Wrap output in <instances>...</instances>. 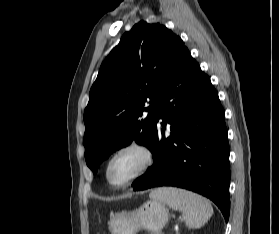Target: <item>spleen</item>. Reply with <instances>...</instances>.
I'll use <instances>...</instances> for the list:
<instances>
[{
    "mask_svg": "<svg viewBox=\"0 0 279 234\" xmlns=\"http://www.w3.org/2000/svg\"><path fill=\"white\" fill-rule=\"evenodd\" d=\"M150 197L181 211L186 225L192 229L202 227L213 214V208L207 199L183 189L158 188L150 194Z\"/></svg>",
    "mask_w": 279,
    "mask_h": 234,
    "instance_id": "1",
    "label": "spleen"
}]
</instances>
